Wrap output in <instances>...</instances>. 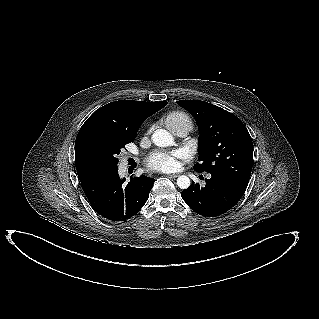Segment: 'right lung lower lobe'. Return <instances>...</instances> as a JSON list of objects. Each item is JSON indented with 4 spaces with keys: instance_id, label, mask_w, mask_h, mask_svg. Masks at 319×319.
<instances>
[{
    "instance_id": "obj_1",
    "label": "right lung lower lobe",
    "mask_w": 319,
    "mask_h": 319,
    "mask_svg": "<svg viewBox=\"0 0 319 319\" xmlns=\"http://www.w3.org/2000/svg\"><path fill=\"white\" fill-rule=\"evenodd\" d=\"M118 169L100 172L81 182L92 208L103 218L125 221L139 212L149 197L154 179L135 177L124 186Z\"/></svg>"
}]
</instances>
